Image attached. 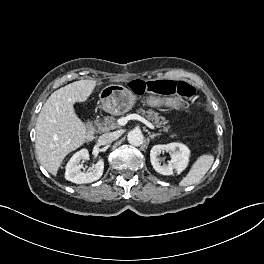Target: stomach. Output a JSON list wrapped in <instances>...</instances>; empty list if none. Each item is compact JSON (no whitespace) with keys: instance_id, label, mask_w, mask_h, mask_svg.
<instances>
[{"instance_id":"1","label":"stomach","mask_w":264,"mask_h":264,"mask_svg":"<svg viewBox=\"0 0 264 264\" xmlns=\"http://www.w3.org/2000/svg\"><path fill=\"white\" fill-rule=\"evenodd\" d=\"M101 109L112 115H121L128 112L136 102V96L122 85H108L103 88L99 94ZM146 104L152 107L167 105L175 109L187 110L189 104L182 97L160 98L149 96L146 98Z\"/></svg>"}]
</instances>
